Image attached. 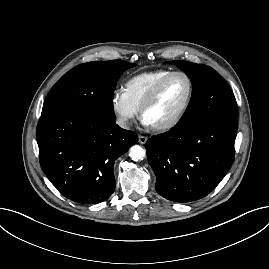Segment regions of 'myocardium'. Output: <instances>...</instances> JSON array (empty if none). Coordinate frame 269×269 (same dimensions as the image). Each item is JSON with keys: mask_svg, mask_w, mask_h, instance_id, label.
I'll return each instance as SVG.
<instances>
[{"mask_svg": "<svg viewBox=\"0 0 269 269\" xmlns=\"http://www.w3.org/2000/svg\"><path fill=\"white\" fill-rule=\"evenodd\" d=\"M177 75L185 77L187 82H188L189 90H188L187 99H186L184 105L182 106V108L178 111V113L174 117H172L170 120L163 122V123H160V124L151 125L152 128L156 131H167V130L174 128L183 119V117L185 116L186 112L188 111V109L191 105V102L193 100L194 83H193V80L191 79V77L186 72L173 71L157 83V85L151 91V93L149 94V96L147 97L145 102L142 104V106L139 110L141 118L144 119V115L147 112V110L150 109L154 105V103L158 99L164 85L172 77L177 76Z\"/></svg>", "mask_w": 269, "mask_h": 269, "instance_id": "myocardium-1", "label": "myocardium"}]
</instances>
